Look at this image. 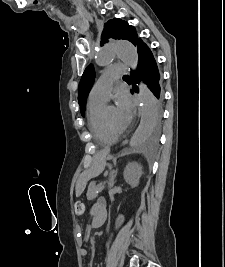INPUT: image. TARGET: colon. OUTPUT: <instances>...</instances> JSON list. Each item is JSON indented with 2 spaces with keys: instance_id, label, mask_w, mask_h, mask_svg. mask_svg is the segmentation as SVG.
Wrapping results in <instances>:
<instances>
[{
  "instance_id": "colon-1",
  "label": "colon",
  "mask_w": 225,
  "mask_h": 267,
  "mask_svg": "<svg viewBox=\"0 0 225 267\" xmlns=\"http://www.w3.org/2000/svg\"><path fill=\"white\" fill-rule=\"evenodd\" d=\"M84 204L81 201H77L74 205V212L77 216H81L84 213Z\"/></svg>"
}]
</instances>
